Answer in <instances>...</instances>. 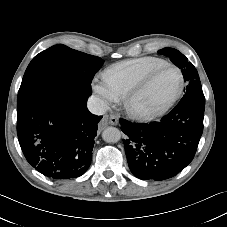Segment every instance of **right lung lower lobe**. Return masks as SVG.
Here are the masks:
<instances>
[{
    "label": "right lung lower lobe",
    "instance_id": "1",
    "mask_svg": "<svg viewBox=\"0 0 227 227\" xmlns=\"http://www.w3.org/2000/svg\"><path fill=\"white\" fill-rule=\"evenodd\" d=\"M90 94L44 89L17 103V134L27 161L54 179L76 178L92 159L97 123L89 112Z\"/></svg>",
    "mask_w": 227,
    "mask_h": 227
}]
</instances>
